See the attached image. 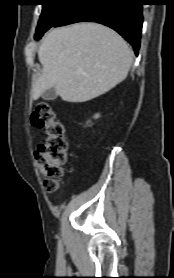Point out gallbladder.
<instances>
[{
  "label": "gallbladder",
  "instance_id": "obj_1",
  "mask_svg": "<svg viewBox=\"0 0 174 278\" xmlns=\"http://www.w3.org/2000/svg\"><path fill=\"white\" fill-rule=\"evenodd\" d=\"M42 98L47 101L55 100L57 98V92L54 87L46 90L42 93Z\"/></svg>",
  "mask_w": 174,
  "mask_h": 278
}]
</instances>
